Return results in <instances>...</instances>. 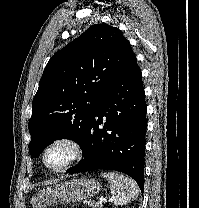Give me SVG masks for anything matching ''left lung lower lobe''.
<instances>
[{
	"label": "left lung lower lobe",
	"instance_id": "1",
	"mask_svg": "<svg viewBox=\"0 0 199 208\" xmlns=\"http://www.w3.org/2000/svg\"><path fill=\"white\" fill-rule=\"evenodd\" d=\"M146 112L142 73L135 57L101 95L80 146L84 159L68 172L96 169L123 172L132 177L143 192ZM104 116L106 122L100 128Z\"/></svg>",
	"mask_w": 199,
	"mask_h": 208
}]
</instances>
